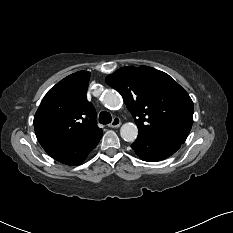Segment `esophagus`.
I'll use <instances>...</instances> for the list:
<instances>
[{
	"label": "esophagus",
	"instance_id": "34e87169",
	"mask_svg": "<svg viewBox=\"0 0 233 233\" xmlns=\"http://www.w3.org/2000/svg\"><path fill=\"white\" fill-rule=\"evenodd\" d=\"M121 125V120L119 117H114L112 122L108 125L110 128H117Z\"/></svg>",
	"mask_w": 233,
	"mask_h": 233
}]
</instances>
